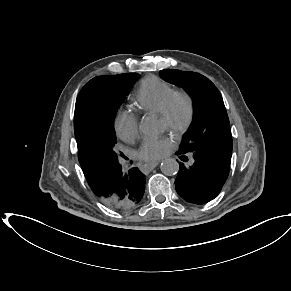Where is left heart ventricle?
<instances>
[{
	"label": "left heart ventricle",
	"instance_id": "1",
	"mask_svg": "<svg viewBox=\"0 0 291 291\" xmlns=\"http://www.w3.org/2000/svg\"><path fill=\"white\" fill-rule=\"evenodd\" d=\"M160 121H161L162 126L165 127V123L162 120H160Z\"/></svg>",
	"mask_w": 291,
	"mask_h": 291
}]
</instances>
